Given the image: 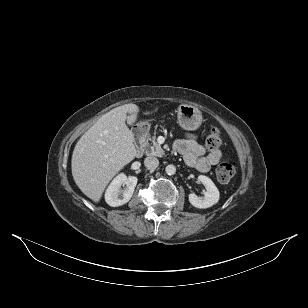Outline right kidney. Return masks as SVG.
Wrapping results in <instances>:
<instances>
[{
    "label": "right kidney",
    "instance_id": "right-kidney-1",
    "mask_svg": "<svg viewBox=\"0 0 308 308\" xmlns=\"http://www.w3.org/2000/svg\"><path fill=\"white\" fill-rule=\"evenodd\" d=\"M137 177L126 176L125 174H119L111 182L105 193V201L112 207H118L127 203L134 192L137 184ZM124 184L126 187L124 190L121 189V185Z\"/></svg>",
    "mask_w": 308,
    "mask_h": 308
}]
</instances>
